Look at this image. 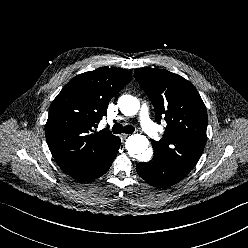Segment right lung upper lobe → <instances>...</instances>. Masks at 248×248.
I'll return each instance as SVG.
<instances>
[{
    "instance_id": "obj_1",
    "label": "right lung upper lobe",
    "mask_w": 248,
    "mask_h": 248,
    "mask_svg": "<svg viewBox=\"0 0 248 248\" xmlns=\"http://www.w3.org/2000/svg\"><path fill=\"white\" fill-rule=\"evenodd\" d=\"M132 78L121 68L100 67L75 76L51 104L45 134L49 149L68 175L80 173L104 155L115 137L94 131L108 103Z\"/></svg>"
}]
</instances>
